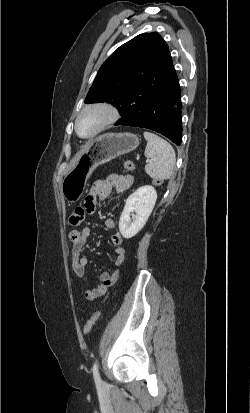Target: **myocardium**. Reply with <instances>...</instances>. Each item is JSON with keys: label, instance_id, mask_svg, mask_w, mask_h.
<instances>
[{"label": "myocardium", "instance_id": "obj_1", "mask_svg": "<svg viewBox=\"0 0 250 413\" xmlns=\"http://www.w3.org/2000/svg\"><path fill=\"white\" fill-rule=\"evenodd\" d=\"M99 112L103 115L98 126L88 135H81L79 132V121L87 112ZM120 119V111L117 106L108 101H98L84 106L75 119V132L82 139H89L97 136L107 128L114 125Z\"/></svg>", "mask_w": 250, "mask_h": 413}]
</instances>
